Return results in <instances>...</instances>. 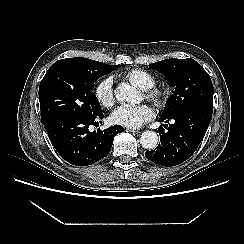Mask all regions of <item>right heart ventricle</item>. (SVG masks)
Here are the masks:
<instances>
[{
  "mask_svg": "<svg viewBox=\"0 0 244 244\" xmlns=\"http://www.w3.org/2000/svg\"><path fill=\"white\" fill-rule=\"evenodd\" d=\"M124 76L130 83L142 90H148L155 84V77L143 69H132Z\"/></svg>",
  "mask_w": 244,
  "mask_h": 244,
  "instance_id": "1",
  "label": "right heart ventricle"
}]
</instances>
